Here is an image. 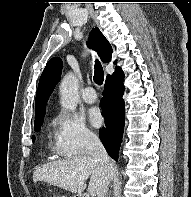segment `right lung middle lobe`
Returning a JSON list of instances; mask_svg holds the SVG:
<instances>
[{"label": "right lung middle lobe", "mask_w": 191, "mask_h": 197, "mask_svg": "<svg viewBox=\"0 0 191 197\" xmlns=\"http://www.w3.org/2000/svg\"><path fill=\"white\" fill-rule=\"evenodd\" d=\"M42 125V121L34 125V131L38 132L40 130V126ZM34 136L32 137V141H34Z\"/></svg>", "instance_id": "obj_1"}]
</instances>
